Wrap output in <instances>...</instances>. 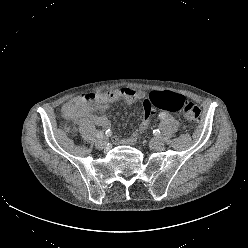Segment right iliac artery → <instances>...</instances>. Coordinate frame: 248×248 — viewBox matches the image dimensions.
<instances>
[{"mask_svg": "<svg viewBox=\"0 0 248 248\" xmlns=\"http://www.w3.org/2000/svg\"><path fill=\"white\" fill-rule=\"evenodd\" d=\"M103 136H104V133L102 131H98L97 134H96V137L99 138V139L102 138Z\"/></svg>", "mask_w": 248, "mask_h": 248, "instance_id": "1", "label": "right iliac artery"}]
</instances>
